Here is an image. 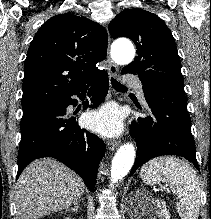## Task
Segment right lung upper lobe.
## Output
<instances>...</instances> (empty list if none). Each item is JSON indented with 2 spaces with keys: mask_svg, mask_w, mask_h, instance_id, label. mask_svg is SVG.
<instances>
[{
  "mask_svg": "<svg viewBox=\"0 0 211 219\" xmlns=\"http://www.w3.org/2000/svg\"><path fill=\"white\" fill-rule=\"evenodd\" d=\"M107 44L96 22L70 13L50 18L28 49L22 105L52 102L103 73L96 64L105 59Z\"/></svg>",
  "mask_w": 211,
  "mask_h": 219,
  "instance_id": "obj_1",
  "label": "right lung upper lobe"
}]
</instances>
